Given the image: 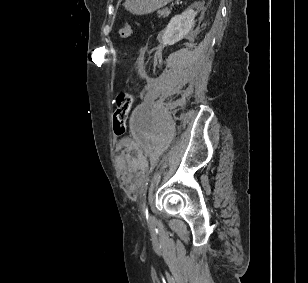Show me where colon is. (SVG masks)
<instances>
[{
    "label": "colon",
    "instance_id": "obj_1",
    "mask_svg": "<svg viewBox=\"0 0 308 283\" xmlns=\"http://www.w3.org/2000/svg\"><path fill=\"white\" fill-rule=\"evenodd\" d=\"M132 34L131 25L127 24L118 30V36L128 38ZM133 104V96L130 93L118 94L115 101V109L112 116L113 130L117 136L125 134L129 113Z\"/></svg>",
    "mask_w": 308,
    "mask_h": 283
}]
</instances>
